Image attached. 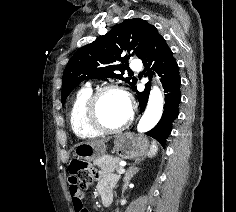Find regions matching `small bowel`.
<instances>
[{
	"label": "small bowel",
	"mask_w": 236,
	"mask_h": 212,
	"mask_svg": "<svg viewBox=\"0 0 236 212\" xmlns=\"http://www.w3.org/2000/svg\"><path fill=\"white\" fill-rule=\"evenodd\" d=\"M66 183L69 184L68 191L69 198H71V202L73 204V208L75 212H85V209L83 207V195L82 190H87V185H82L81 182H79V176L78 175H67L66 176ZM115 182V177H108L104 178L98 185V189H105V190H111Z\"/></svg>",
	"instance_id": "small-bowel-1"
}]
</instances>
